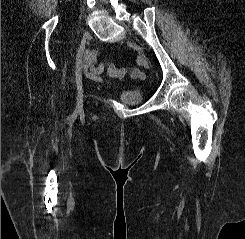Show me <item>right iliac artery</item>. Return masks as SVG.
<instances>
[{"mask_svg":"<svg viewBox=\"0 0 245 239\" xmlns=\"http://www.w3.org/2000/svg\"><path fill=\"white\" fill-rule=\"evenodd\" d=\"M82 52H83V47L80 44L79 47H78L77 55H76L75 75H77V71H78L79 66L81 64V55H82Z\"/></svg>","mask_w":245,"mask_h":239,"instance_id":"obj_1","label":"right iliac artery"}]
</instances>
